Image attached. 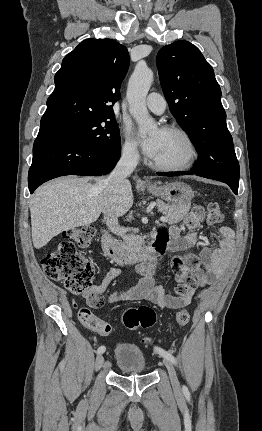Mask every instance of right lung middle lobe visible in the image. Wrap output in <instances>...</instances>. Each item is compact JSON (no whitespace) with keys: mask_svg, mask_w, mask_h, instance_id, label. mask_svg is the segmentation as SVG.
Segmentation results:
<instances>
[{"mask_svg":"<svg viewBox=\"0 0 262 431\" xmlns=\"http://www.w3.org/2000/svg\"><path fill=\"white\" fill-rule=\"evenodd\" d=\"M39 132L72 137L109 150L120 146L119 128L113 116H94L40 126Z\"/></svg>","mask_w":262,"mask_h":431,"instance_id":"dd1d6c3e","label":"right lung middle lobe"}]
</instances>
